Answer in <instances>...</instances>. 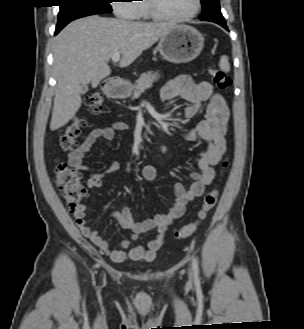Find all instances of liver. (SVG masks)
<instances>
[{
  "instance_id": "obj_1",
  "label": "liver",
  "mask_w": 304,
  "mask_h": 329,
  "mask_svg": "<svg viewBox=\"0 0 304 329\" xmlns=\"http://www.w3.org/2000/svg\"><path fill=\"white\" fill-rule=\"evenodd\" d=\"M170 23L132 22L98 15L77 19L54 39L57 89L50 130L66 125L79 110L81 85L97 87L108 77V61L121 53L120 67L133 63L173 27Z\"/></svg>"
}]
</instances>
